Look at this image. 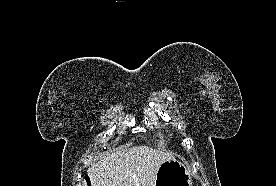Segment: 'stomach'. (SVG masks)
Segmentation results:
<instances>
[{"label":"stomach","instance_id":"0dacf381","mask_svg":"<svg viewBox=\"0 0 276 186\" xmlns=\"http://www.w3.org/2000/svg\"><path fill=\"white\" fill-rule=\"evenodd\" d=\"M155 186H192L190 171L176 158L168 159L157 171Z\"/></svg>","mask_w":276,"mask_h":186}]
</instances>
